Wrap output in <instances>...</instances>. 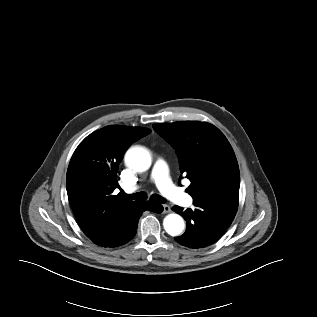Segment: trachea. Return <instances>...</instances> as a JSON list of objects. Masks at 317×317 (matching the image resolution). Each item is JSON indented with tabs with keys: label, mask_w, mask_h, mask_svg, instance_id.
<instances>
[{
	"label": "trachea",
	"mask_w": 317,
	"mask_h": 317,
	"mask_svg": "<svg viewBox=\"0 0 317 317\" xmlns=\"http://www.w3.org/2000/svg\"><path fill=\"white\" fill-rule=\"evenodd\" d=\"M124 195L132 200H145V199H147V194L145 192H138V193H135L132 195L124 193ZM150 200L153 202H156V203H160V204H163L166 202V200L158 194L151 195Z\"/></svg>",
	"instance_id": "obj_1"
}]
</instances>
